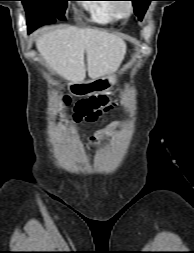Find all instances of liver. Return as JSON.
I'll return each mask as SVG.
<instances>
[{"mask_svg":"<svg viewBox=\"0 0 194 253\" xmlns=\"http://www.w3.org/2000/svg\"><path fill=\"white\" fill-rule=\"evenodd\" d=\"M36 47L47 66L72 83L85 79L84 54L87 71L92 79L117 71L126 54V43L106 31L67 27L43 32Z\"/></svg>","mask_w":194,"mask_h":253,"instance_id":"obj_1","label":"liver"}]
</instances>
